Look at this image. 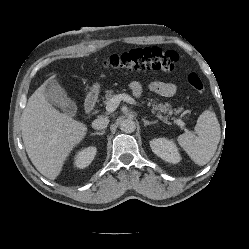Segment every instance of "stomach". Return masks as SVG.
<instances>
[{
  "label": "stomach",
  "instance_id": "0dacf381",
  "mask_svg": "<svg viewBox=\"0 0 249 249\" xmlns=\"http://www.w3.org/2000/svg\"><path fill=\"white\" fill-rule=\"evenodd\" d=\"M93 88H94V90L99 89V84H95V85L93 86Z\"/></svg>",
  "mask_w": 249,
  "mask_h": 249
}]
</instances>
